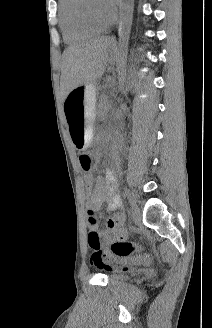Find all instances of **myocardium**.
I'll return each mask as SVG.
<instances>
[{
	"instance_id": "myocardium-1",
	"label": "myocardium",
	"mask_w": 212,
	"mask_h": 328,
	"mask_svg": "<svg viewBox=\"0 0 212 328\" xmlns=\"http://www.w3.org/2000/svg\"><path fill=\"white\" fill-rule=\"evenodd\" d=\"M77 7V16L80 22L92 29L102 31L109 28L116 20V11L114 10L111 18L106 22L98 21L91 13L89 4L91 0H79Z\"/></svg>"
}]
</instances>
